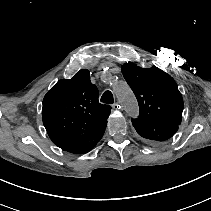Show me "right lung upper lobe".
Segmentation results:
<instances>
[{
  "label": "right lung upper lobe",
  "instance_id": "cb5924a9",
  "mask_svg": "<svg viewBox=\"0 0 211 211\" xmlns=\"http://www.w3.org/2000/svg\"><path fill=\"white\" fill-rule=\"evenodd\" d=\"M89 74L83 69L60 80L43 100V124L52 142L64 151L98 142L106 128L111 106L98 102V89Z\"/></svg>",
  "mask_w": 211,
  "mask_h": 211
}]
</instances>
